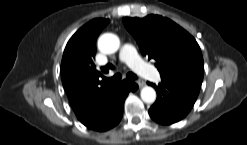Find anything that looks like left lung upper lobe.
I'll return each instance as SVG.
<instances>
[{"label":"left lung upper lobe","instance_id":"1","mask_svg":"<svg viewBox=\"0 0 247 145\" xmlns=\"http://www.w3.org/2000/svg\"><path fill=\"white\" fill-rule=\"evenodd\" d=\"M141 53L155 61L161 79L199 93L204 74L201 49L196 40L168 18L148 15L123 18Z\"/></svg>","mask_w":247,"mask_h":145}]
</instances>
